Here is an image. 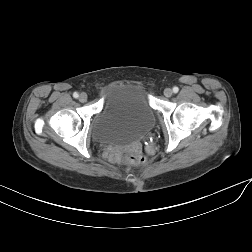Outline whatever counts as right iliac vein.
<instances>
[{"instance_id":"63e3f726","label":"right iliac vein","mask_w":252,"mask_h":252,"mask_svg":"<svg viewBox=\"0 0 252 252\" xmlns=\"http://www.w3.org/2000/svg\"><path fill=\"white\" fill-rule=\"evenodd\" d=\"M87 99H88V95L86 93L83 92L80 94V96H79L80 102L84 103L87 101Z\"/></svg>"}]
</instances>
